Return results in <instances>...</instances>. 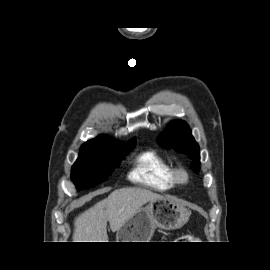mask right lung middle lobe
<instances>
[{
    "label": "right lung middle lobe",
    "instance_id": "obj_1",
    "mask_svg": "<svg viewBox=\"0 0 270 270\" xmlns=\"http://www.w3.org/2000/svg\"><path fill=\"white\" fill-rule=\"evenodd\" d=\"M136 141L129 146L123 144L81 148L80 154L71 170V178L78 189L96 186L105 180L119 166L128 152L135 147Z\"/></svg>",
    "mask_w": 270,
    "mask_h": 270
}]
</instances>
